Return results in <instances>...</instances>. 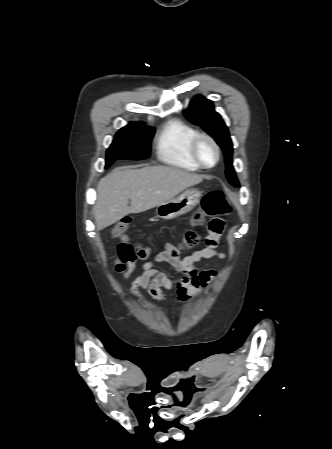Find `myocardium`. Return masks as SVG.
Masks as SVG:
<instances>
[{"label":"myocardium","mask_w":332,"mask_h":449,"mask_svg":"<svg viewBox=\"0 0 332 449\" xmlns=\"http://www.w3.org/2000/svg\"><path fill=\"white\" fill-rule=\"evenodd\" d=\"M203 140L209 142L215 151V155H216L215 161L210 165L205 164L202 161V159L200 158L199 153H198L199 143ZM190 153H191L193 160L196 162V164L199 167L204 168V169H211V168L215 167L220 160V147H219L218 143L211 135H209L208 133H205V132H197L193 136V138L190 142Z\"/></svg>","instance_id":"1"}]
</instances>
